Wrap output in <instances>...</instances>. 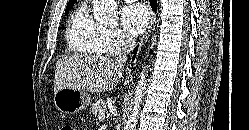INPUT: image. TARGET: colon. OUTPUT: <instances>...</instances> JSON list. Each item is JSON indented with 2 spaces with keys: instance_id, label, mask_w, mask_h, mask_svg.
<instances>
[{
  "instance_id": "obj_1",
  "label": "colon",
  "mask_w": 249,
  "mask_h": 130,
  "mask_svg": "<svg viewBox=\"0 0 249 130\" xmlns=\"http://www.w3.org/2000/svg\"><path fill=\"white\" fill-rule=\"evenodd\" d=\"M61 130H75V127L70 123H65L62 125Z\"/></svg>"
}]
</instances>
